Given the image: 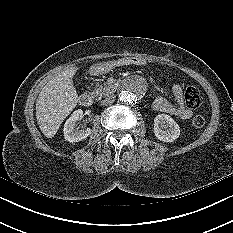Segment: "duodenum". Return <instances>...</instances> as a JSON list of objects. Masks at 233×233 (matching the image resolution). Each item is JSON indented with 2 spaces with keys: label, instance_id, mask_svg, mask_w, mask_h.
<instances>
[{
  "label": "duodenum",
  "instance_id": "duodenum-1",
  "mask_svg": "<svg viewBox=\"0 0 233 233\" xmlns=\"http://www.w3.org/2000/svg\"><path fill=\"white\" fill-rule=\"evenodd\" d=\"M121 86L118 83L115 84H105L103 85V87H99L97 88V90L93 91L92 96L95 99H99L102 100L104 99L105 95H107L108 93H115L120 91ZM79 103L81 106L84 107H89L92 104V97L90 94L88 93H83L80 95L79 97Z\"/></svg>",
  "mask_w": 233,
  "mask_h": 233
}]
</instances>
